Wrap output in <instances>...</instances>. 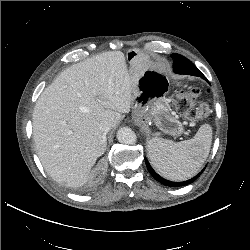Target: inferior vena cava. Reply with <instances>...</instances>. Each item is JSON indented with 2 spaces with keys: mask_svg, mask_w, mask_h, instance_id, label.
Wrapping results in <instances>:
<instances>
[{
  "mask_svg": "<svg viewBox=\"0 0 250 250\" xmlns=\"http://www.w3.org/2000/svg\"><path fill=\"white\" fill-rule=\"evenodd\" d=\"M99 129L104 133H108L111 129V126L108 122H103L100 124Z\"/></svg>",
  "mask_w": 250,
  "mask_h": 250,
  "instance_id": "1",
  "label": "inferior vena cava"
}]
</instances>
